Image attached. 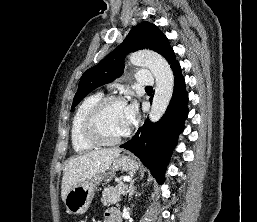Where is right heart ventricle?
I'll use <instances>...</instances> for the list:
<instances>
[{"instance_id": "1", "label": "right heart ventricle", "mask_w": 257, "mask_h": 222, "mask_svg": "<svg viewBox=\"0 0 257 222\" xmlns=\"http://www.w3.org/2000/svg\"><path fill=\"white\" fill-rule=\"evenodd\" d=\"M103 98L100 92L87 96L77 108L70 128L71 144L75 152L83 153L94 149L97 145L86 138L83 132V122L90 108Z\"/></svg>"}]
</instances>
